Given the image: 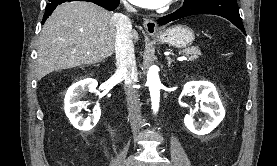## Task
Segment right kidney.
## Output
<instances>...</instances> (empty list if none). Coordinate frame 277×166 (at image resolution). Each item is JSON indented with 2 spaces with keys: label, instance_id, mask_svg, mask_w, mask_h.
<instances>
[{
  "label": "right kidney",
  "instance_id": "right-kidney-1",
  "mask_svg": "<svg viewBox=\"0 0 277 166\" xmlns=\"http://www.w3.org/2000/svg\"><path fill=\"white\" fill-rule=\"evenodd\" d=\"M97 81L94 79H85L73 84L67 91L64 99V110L71 124L82 131L91 130L99 121L101 109L97 104L93 110L92 118H83L78 113L82 108V101L79 100L84 92L96 91Z\"/></svg>",
  "mask_w": 277,
  "mask_h": 166
}]
</instances>
